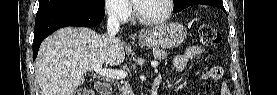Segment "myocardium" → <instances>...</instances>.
Masks as SVG:
<instances>
[{
    "label": "myocardium",
    "instance_id": "f54148a6",
    "mask_svg": "<svg viewBox=\"0 0 277 95\" xmlns=\"http://www.w3.org/2000/svg\"><path fill=\"white\" fill-rule=\"evenodd\" d=\"M141 0H132V8H133V13H134V17L135 19L145 25H159L165 21H167L174 9V1L173 0H164L166 3V13L158 18H145L142 17L139 12H138V2Z\"/></svg>",
    "mask_w": 277,
    "mask_h": 95
}]
</instances>
